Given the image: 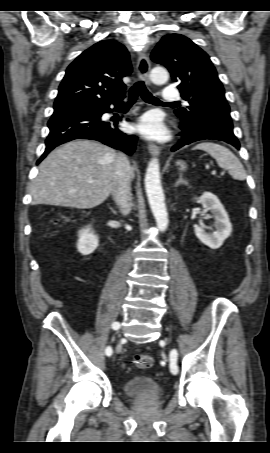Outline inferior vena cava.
Returning a JSON list of instances; mask_svg holds the SVG:
<instances>
[{
	"instance_id": "1",
	"label": "inferior vena cava",
	"mask_w": 270,
	"mask_h": 453,
	"mask_svg": "<svg viewBox=\"0 0 270 453\" xmlns=\"http://www.w3.org/2000/svg\"><path fill=\"white\" fill-rule=\"evenodd\" d=\"M131 166L124 154H118L114 161V179L112 184V196L123 215L131 211L132 194L130 187Z\"/></svg>"
}]
</instances>
